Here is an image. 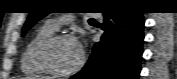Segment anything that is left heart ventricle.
<instances>
[{"label":"left heart ventricle","instance_id":"1","mask_svg":"<svg viewBox=\"0 0 177 79\" xmlns=\"http://www.w3.org/2000/svg\"><path fill=\"white\" fill-rule=\"evenodd\" d=\"M47 55L49 63L59 71L74 68L80 60L78 45L70 40H64L53 45Z\"/></svg>","mask_w":177,"mask_h":79}]
</instances>
